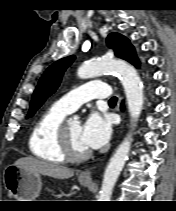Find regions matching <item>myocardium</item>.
<instances>
[{
  "label": "myocardium",
  "instance_id": "myocardium-1",
  "mask_svg": "<svg viewBox=\"0 0 176 211\" xmlns=\"http://www.w3.org/2000/svg\"><path fill=\"white\" fill-rule=\"evenodd\" d=\"M67 124H68V121L63 120V122L58 128L59 146L65 159L72 162H79V161H83L89 158L91 155L90 150L79 152L75 150L74 147L72 146V143L68 134Z\"/></svg>",
  "mask_w": 176,
  "mask_h": 211
}]
</instances>
